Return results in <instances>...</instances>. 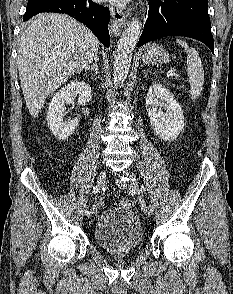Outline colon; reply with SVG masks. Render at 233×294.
I'll list each match as a JSON object with an SVG mask.
<instances>
[{
	"label": "colon",
	"instance_id": "5ec220e1",
	"mask_svg": "<svg viewBox=\"0 0 233 294\" xmlns=\"http://www.w3.org/2000/svg\"><path fill=\"white\" fill-rule=\"evenodd\" d=\"M133 203L130 199H122L120 201V206L122 208H125V209H130L132 207Z\"/></svg>",
	"mask_w": 233,
	"mask_h": 294
}]
</instances>
